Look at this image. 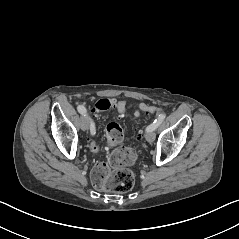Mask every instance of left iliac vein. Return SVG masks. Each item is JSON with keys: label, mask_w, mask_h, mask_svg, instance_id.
<instances>
[{"label": "left iliac vein", "mask_w": 239, "mask_h": 239, "mask_svg": "<svg viewBox=\"0 0 239 239\" xmlns=\"http://www.w3.org/2000/svg\"><path fill=\"white\" fill-rule=\"evenodd\" d=\"M145 137H146V140L151 143L155 140L156 134L154 131H149L146 133Z\"/></svg>", "instance_id": "left-iliac-vein-1"}]
</instances>
